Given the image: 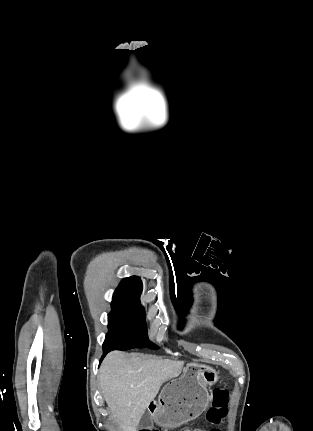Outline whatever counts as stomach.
<instances>
[{
  "instance_id": "stomach-1",
  "label": "stomach",
  "mask_w": 313,
  "mask_h": 431,
  "mask_svg": "<svg viewBox=\"0 0 313 431\" xmlns=\"http://www.w3.org/2000/svg\"><path fill=\"white\" fill-rule=\"evenodd\" d=\"M217 372L205 365L188 364L178 379L168 382L159 394L152 415L163 427H177L199 417L209 404L207 387L218 381Z\"/></svg>"
}]
</instances>
